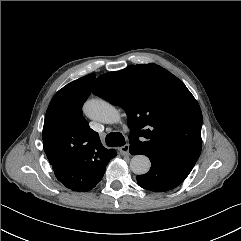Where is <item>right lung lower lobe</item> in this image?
I'll list each match as a JSON object with an SVG mask.
<instances>
[{
  "label": "right lung lower lobe",
  "mask_w": 241,
  "mask_h": 241,
  "mask_svg": "<svg viewBox=\"0 0 241 241\" xmlns=\"http://www.w3.org/2000/svg\"><path fill=\"white\" fill-rule=\"evenodd\" d=\"M115 155L116 152L112 158ZM110 159L99 162L66 161L51 165L55 176L66 188L73 191H89L102 179Z\"/></svg>",
  "instance_id": "98d812e1"
}]
</instances>
